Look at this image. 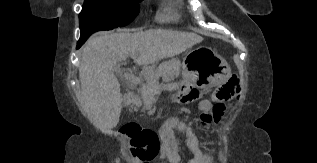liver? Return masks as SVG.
<instances>
[{
    "label": "liver",
    "mask_w": 317,
    "mask_h": 163,
    "mask_svg": "<svg viewBox=\"0 0 317 163\" xmlns=\"http://www.w3.org/2000/svg\"><path fill=\"white\" fill-rule=\"evenodd\" d=\"M202 41L195 33L168 29L95 34L83 46L79 66L83 112L96 128L113 129L119 122L123 101L114 74L117 63L135 57L139 66L153 64Z\"/></svg>",
    "instance_id": "obj_1"
}]
</instances>
